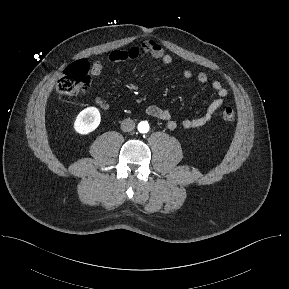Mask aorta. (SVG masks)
<instances>
[{"label": "aorta", "instance_id": "aorta-1", "mask_svg": "<svg viewBox=\"0 0 289 289\" xmlns=\"http://www.w3.org/2000/svg\"><path fill=\"white\" fill-rule=\"evenodd\" d=\"M138 131L140 133H147L149 131V124L145 121L138 124Z\"/></svg>", "mask_w": 289, "mask_h": 289}]
</instances>
